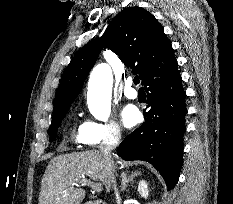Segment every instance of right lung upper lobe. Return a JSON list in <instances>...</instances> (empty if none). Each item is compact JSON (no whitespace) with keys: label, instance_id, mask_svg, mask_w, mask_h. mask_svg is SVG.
I'll return each mask as SVG.
<instances>
[{"label":"right lung upper lobe","instance_id":"right-lung-upper-lobe-1","mask_svg":"<svg viewBox=\"0 0 233 204\" xmlns=\"http://www.w3.org/2000/svg\"><path fill=\"white\" fill-rule=\"evenodd\" d=\"M103 47L139 74L144 85L152 76L177 63L163 26L141 7H128L109 24L101 38L81 48L64 70L54 100L52 119L67 112Z\"/></svg>","mask_w":233,"mask_h":204}]
</instances>
